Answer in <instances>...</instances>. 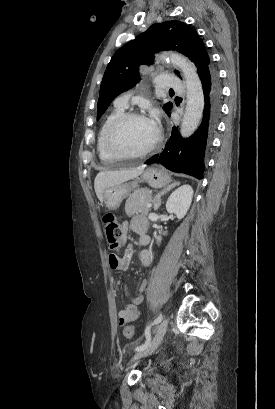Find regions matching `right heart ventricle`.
I'll use <instances>...</instances> for the list:
<instances>
[{
    "instance_id": "1",
    "label": "right heart ventricle",
    "mask_w": 275,
    "mask_h": 409,
    "mask_svg": "<svg viewBox=\"0 0 275 409\" xmlns=\"http://www.w3.org/2000/svg\"><path fill=\"white\" fill-rule=\"evenodd\" d=\"M124 113L123 108L120 107H115V109L108 115L104 123L102 124L99 134H98V139H97V150L99 153V157H108L107 152L105 150V140L107 133L114 122L116 118H118L120 115Z\"/></svg>"
}]
</instances>
